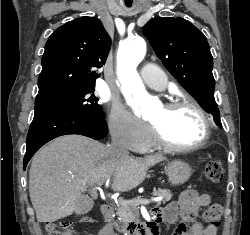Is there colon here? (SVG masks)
Listing matches in <instances>:
<instances>
[{"instance_id":"5ec220e1","label":"colon","mask_w":250,"mask_h":235,"mask_svg":"<svg viewBox=\"0 0 250 235\" xmlns=\"http://www.w3.org/2000/svg\"><path fill=\"white\" fill-rule=\"evenodd\" d=\"M206 178L213 183H218L223 178V167L219 161H210L204 170ZM222 207L219 204H211L204 212V218L209 225L218 227L221 223ZM84 223H92L91 218L83 219ZM48 235H73V229L69 222L47 224Z\"/></svg>"}]
</instances>
